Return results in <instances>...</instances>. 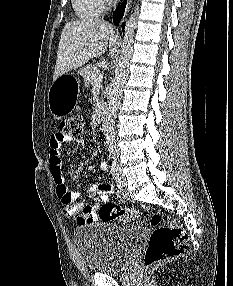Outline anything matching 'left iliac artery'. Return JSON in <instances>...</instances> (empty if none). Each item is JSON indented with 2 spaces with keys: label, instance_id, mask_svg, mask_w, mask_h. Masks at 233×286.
I'll return each mask as SVG.
<instances>
[{
  "label": "left iliac artery",
  "instance_id": "obj_1",
  "mask_svg": "<svg viewBox=\"0 0 233 286\" xmlns=\"http://www.w3.org/2000/svg\"><path fill=\"white\" fill-rule=\"evenodd\" d=\"M109 151H110V153H111V155H112V158L114 159L113 162H115V160H116V155H117V151H116V149H115V146L111 145L110 148H109Z\"/></svg>",
  "mask_w": 233,
  "mask_h": 286
}]
</instances>
